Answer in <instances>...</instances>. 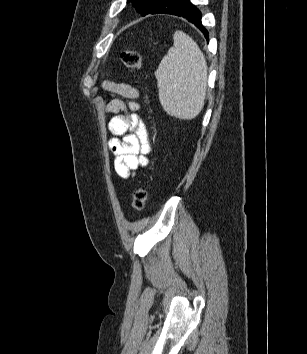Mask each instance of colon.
Wrapping results in <instances>:
<instances>
[{"label":"colon","mask_w":307,"mask_h":354,"mask_svg":"<svg viewBox=\"0 0 307 354\" xmlns=\"http://www.w3.org/2000/svg\"><path fill=\"white\" fill-rule=\"evenodd\" d=\"M122 63L133 71H139L141 68V56L139 52L132 49H125L121 53ZM147 201V191L144 185L138 186L132 195V206L135 210L144 209Z\"/></svg>","instance_id":"obj_1"}]
</instances>
